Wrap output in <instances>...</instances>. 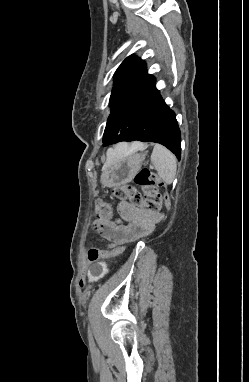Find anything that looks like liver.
<instances>
[{"instance_id":"6515ba94","label":"liver","mask_w":249,"mask_h":382,"mask_svg":"<svg viewBox=\"0 0 249 382\" xmlns=\"http://www.w3.org/2000/svg\"><path fill=\"white\" fill-rule=\"evenodd\" d=\"M144 147L145 146L142 143L138 142H135L131 145H128L126 143L117 145L114 150H110L108 152L106 163L104 164L103 168L107 167L114 157L129 155L136 152L139 149H144Z\"/></svg>"}]
</instances>
